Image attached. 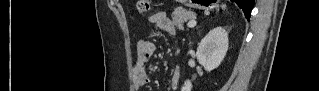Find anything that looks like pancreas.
I'll return each mask as SVG.
<instances>
[{
    "label": "pancreas",
    "instance_id": "obj_1",
    "mask_svg": "<svg viewBox=\"0 0 319 91\" xmlns=\"http://www.w3.org/2000/svg\"><path fill=\"white\" fill-rule=\"evenodd\" d=\"M195 13L190 10L176 8L172 13V21L178 30H184L183 24L190 19L195 18Z\"/></svg>",
    "mask_w": 319,
    "mask_h": 91
}]
</instances>
